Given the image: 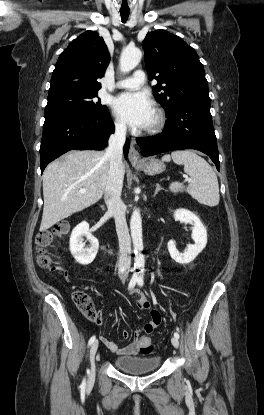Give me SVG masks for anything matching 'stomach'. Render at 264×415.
<instances>
[{
    "label": "stomach",
    "instance_id": "stomach-1",
    "mask_svg": "<svg viewBox=\"0 0 264 415\" xmlns=\"http://www.w3.org/2000/svg\"><path fill=\"white\" fill-rule=\"evenodd\" d=\"M135 167L141 169L147 175L160 174L165 170V164L158 159H149L141 164H135Z\"/></svg>",
    "mask_w": 264,
    "mask_h": 415
}]
</instances>
